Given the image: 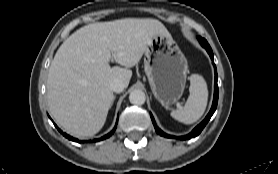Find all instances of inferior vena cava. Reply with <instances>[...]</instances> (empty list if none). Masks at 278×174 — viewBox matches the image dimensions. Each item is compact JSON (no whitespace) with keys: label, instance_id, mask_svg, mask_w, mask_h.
<instances>
[{"label":"inferior vena cava","instance_id":"1","mask_svg":"<svg viewBox=\"0 0 278 174\" xmlns=\"http://www.w3.org/2000/svg\"><path fill=\"white\" fill-rule=\"evenodd\" d=\"M110 88L112 91L120 93L124 90L125 85L121 79L115 78L110 82Z\"/></svg>","mask_w":278,"mask_h":174}]
</instances>
